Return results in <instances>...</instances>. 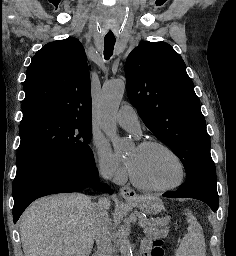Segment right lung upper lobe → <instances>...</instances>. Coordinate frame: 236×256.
Instances as JSON below:
<instances>
[{"label": "right lung upper lobe", "mask_w": 236, "mask_h": 256, "mask_svg": "<svg viewBox=\"0 0 236 256\" xmlns=\"http://www.w3.org/2000/svg\"><path fill=\"white\" fill-rule=\"evenodd\" d=\"M24 91L22 119L50 114L91 121L90 67L79 40L43 46L27 69Z\"/></svg>", "instance_id": "cb5924a9"}]
</instances>
